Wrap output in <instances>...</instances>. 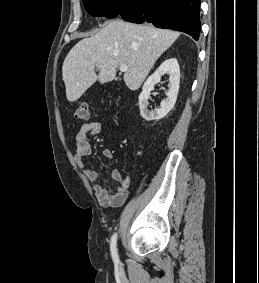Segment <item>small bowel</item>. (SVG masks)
<instances>
[{
  "instance_id": "obj_1",
  "label": "small bowel",
  "mask_w": 259,
  "mask_h": 283,
  "mask_svg": "<svg viewBox=\"0 0 259 283\" xmlns=\"http://www.w3.org/2000/svg\"><path fill=\"white\" fill-rule=\"evenodd\" d=\"M100 131L101 123L93 121L83 124L75 134V162L86 178L92 182H96L99 179V173L88 168L84 160L92 151L90 137L99 134ZM102 154L108 159L114 157L113 151L109 148H104ZM110 179L116 183L114 188H107L100 183H95L93 186L94 192L102 206L121 205L128 197L131 176L130 174H122L119 169H114L111 172Z\"/></svg>"
}]
</instances>
